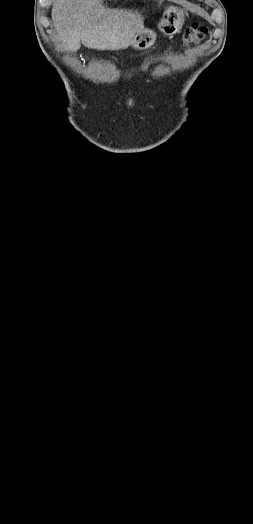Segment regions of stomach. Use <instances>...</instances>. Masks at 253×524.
I'll return each mask as SVG.
<instances>
[{
  "label": "stomach",
  "instance_id": "0dacf381",
  "mask_svg": "<svg viewBox=\"0 0 253 524\" xmlns=\"http://www.w3.org/2000/svg\"><path fill=\"white\" fill-rule=\"evenodd\" d=\"M184 24V11L177 7H169L163 13L159 22V30L169 37L179 33ZM156 39V34L148 29H143L134 40L132 46L138 50H145L151 47Z\"/></svg>",
  "mask_w": 253,
  "mask_h": 524
}]
</instances>
